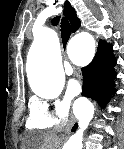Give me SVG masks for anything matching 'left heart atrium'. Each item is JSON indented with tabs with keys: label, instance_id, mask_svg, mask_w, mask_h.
Here are the masks:
<instances>
[{
	"label": "left heart atrium",
	"instance_id": "left-heart-atrium-1",
	"mask_svg": "<svg viewBox=\"0 0 124 149\" xmlns=\"http://www.w3.org/2000/svg\"><path fill=\"white\" fill-rule=\"evenodd\" d=\"M81 91V84L74 80L72 82H70L69 86H68V95L70 97H75L77 96Z\"/></svg>",
	"mask_w": 124,
	"mask_h": 149
}]
</instances>
